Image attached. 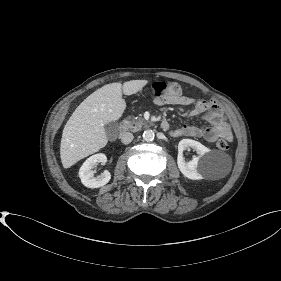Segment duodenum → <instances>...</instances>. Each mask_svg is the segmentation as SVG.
I'll return each instance as SVG.
<instances>
[{
	"mask_svg": "<svg viewBox=\"0 0 281 281\" xmlns=\"http://www.w3.org/2000/svg\"><path fill=\"white\" fill-rule=\"evenodd\" d=\"M161 127L163 129H168V127H169L168 122L167 121H162L161 122ZM126 130H127V124H126V122L122 121L120 123L119 131H120V133H124Z\"/></svg>",
	"mask_w": 281,
	"mask_h": 281,
	"instance_id": "duodenum-1",
	"label": "duodenum"
}]
</instances>
